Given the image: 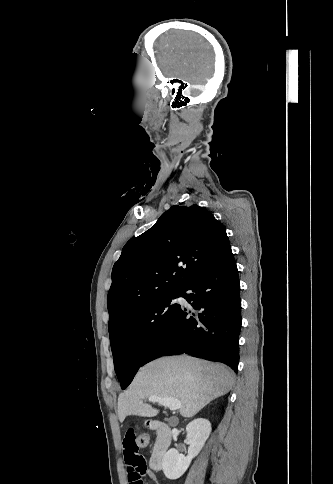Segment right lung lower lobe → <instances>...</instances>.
I'll list each match as a JSON object with an SVG mask.
<instances>
[{"label":"right lung lower lobe","mask_w":333,"mask_h":484,"mask_svg":"<svg viewBox=\"0 0 333 484\" xmlns=\"http://www.w3.org/2000/svg\"><path fill=\"white\" fill-rule=\"evenodd\" d=\"M179 297L196 311L179 305L140 367L160 356L186 353L223 362L237 372L241 301L238 270L230 245L181 290Z\"/></svg>","instance_id":"1"}]
</instances>
